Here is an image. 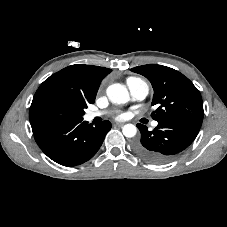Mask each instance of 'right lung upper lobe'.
Listing matches in <instances>:
<instances>
[{
    "mask_svg": "<svg viewBox=\"0 0 227 227\" xmlns=\"http://www.w3.org/2000/svg\"><path fill=\"white\" fill-rule=\"evenodd\" d=\"M111 72L105 67L75 64L51 75L43 84L60 86L87 103H94L100 82Z\"/></svg>",
    "mask_w": 227,
    "mask_h": 227,
    "instance_id": "right-lung-upper-lobe-1",
    "label": "right lung upper lobe"
}]
</instances>
